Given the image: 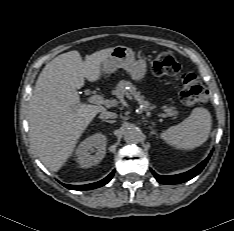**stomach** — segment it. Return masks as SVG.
<instances>
[{"label": "stomach", "mask_w": 234, "mask_h": 231, "mask_svg": "<svg viewBox=\"0 0 234 231\" xmlns=\"http://www.w3.org/2000/svg\"><path fill=\"white\" fill-rule=\"evenodd\" d=\"M119 68L126 70L134 81L140 82L145 77L147 64L144 59L136 60L131 48L116 46L108 58L103 61L101 71L111 74Z\"/></svg>", "instance_id": "1"}]
</instances>
